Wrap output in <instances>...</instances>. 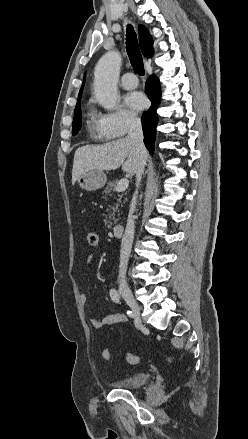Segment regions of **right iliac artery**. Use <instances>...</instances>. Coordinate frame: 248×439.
<instances>
[{
  "label": "right iliac artery",
  "mask_w": 248,
  "mask_h": 439,
  "mask_svg": "<svg viewBox=\"0 0 248 439\" xmlns=\"http://www.w3.org/2000/svg\"><path fill=\"white\" fill-rule=\"evenodd\" d=\"M110 297L115 303H120V295L115 289L110 290ZM131 311H127V314H130Z\"/></svg>",
  "instance_id": "1"
}]
</instances>
